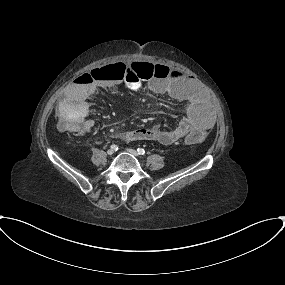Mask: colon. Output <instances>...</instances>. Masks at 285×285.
Listing matches in <instances>:
<instances>
[{
    "label": "colon",
    "mask_w": 285,
    "mask_h": 285,
    "mask_svg": "<svg viewBox=\"0 0 285 285\" xmlns=\"http://www.w3.org/2000/svg\"><path fill=\"white\" fill-rule=\"evenodd\" d=\"M122 64H113L103 70H93L88 72H81L77 75L76 81L82 84H90L98 79H103L106 73H113L115 71L122 72ZM129 70L134 73L139 80L150 81L153 79L157 80H173L180 75L167 66L161 64H151L148 62H135L131 65ZM80 119H69L63 117L60 121V126L64 130L78 131ZM205 134L201 130L191 131L184 139L188 144H197L205 140Z\"/></svg>",
    "instance_id": "5ec220e1"
}]
</instances>
